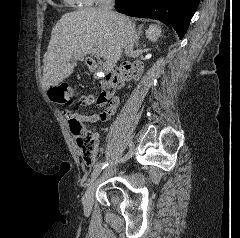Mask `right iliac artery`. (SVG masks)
<instances>
[{"mask_svg":"<svg viewBox=\"0 0 240 238\" xmlns=\"http://www.w3.org/2000/svg\"><path fill=\"white\" fill-rule=\"evenodd\" d=\"M131 145H129V149H128V152H126V156L124 157V158H122V160L124 161V160H126L128 157H131V155H133V153H134V144H133V142L132 141H130L129 142ZM106 166H108V164L107 163H100V164H98L96 167H95V169H94V171L92 172V175H91V179H90V181H89V184L88 185H90L96 178H97V176H98V174L100 173V171L102 170V169H104Z\"/></svg>","mask_w":240,"mask_h":238,"instance_id":"obj_1","label":"right iliac artery"}]
</instances>
